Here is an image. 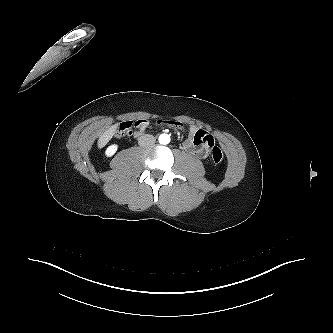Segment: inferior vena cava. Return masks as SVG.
Masks as SVG:
<instances>
[{
  "label": "inferior vena cava",
  "instance_id": "inferior-vena-cava-1",
  "mask_svg": "<svg viewBox=\"0 0 333 333\" xmlns=\"http://www.w3.org/2000/svg\"><path fill=\"white\" fill-rule=\"evenodd\" d=\"M155 143V137L150 134H145L139 137L138 144L141 147H149Z\"/></svg>",
  "mask_w": 333,
  "mask_h": 333
}]
</instances>
